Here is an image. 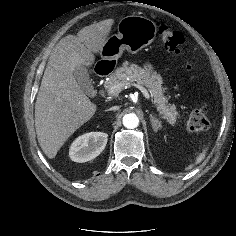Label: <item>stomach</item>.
<instances>
[{"label": "stomach", "instance_id": "0dacf381", "mask_svg": "<svg viewBox=\"0 0 236 236\" xmlns=\"http://www.w3.org/2000/svg\"><path fill=\"white\" fill-rule=\"evenodd\" d=\"M118 33L106 39L101 48V61L115 66L124 50L136 54L150 45L156 37L153 21L143 16L130 15L122 18L117 26Z\"/></svg>", "mask_w": 236, "mask_h": 236}]
</instances>
